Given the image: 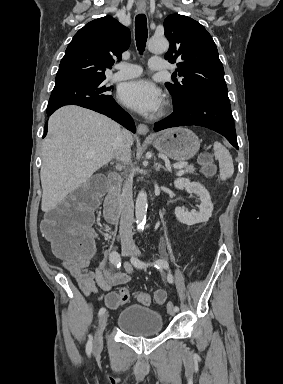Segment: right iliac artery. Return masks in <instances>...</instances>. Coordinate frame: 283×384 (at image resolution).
<instances>
[{
    "label": "right iliac artery",
    "instance_id": "obj_1",
    "mask_svg": "<svg viewBox=\"0 0 283 384\" xmlns=\"http://www.w3.org/2000/svg\"><path fill=\"white\" fill-rule=\"evenodd\" d=\"M109 260L117 268H119L121 266V258H120V255L118 254V252L113 251L110 254V256H109ZM105 312H106V308L102 307L99 310L98 315L101 316ZM92 339H93V336L89 335V339H88V342H87V345H86V352H87L88 355H90L91 352H92Z\"/></svg>",
    "mask_w": 283,
    "mask_h": 384
}]
</instances>
